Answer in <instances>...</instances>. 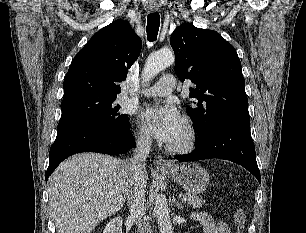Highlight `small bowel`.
Masks as SVG:
<instances>
[{"label":"small bowel","instance_id":"c3829d8e","mask_svg":"<svg viewBox=\"0 0 306 233\" xmlns=\"http://www.w3.org/2000/svg\"><path fill=\"white\" fill-rule=\"evenodd\" d=\"M192 219L199 223L204 233H231L229 226L223 221H215L206 213H197Z\"/></svg>","mask_w":306,"mask_h":233}]
</instances>
